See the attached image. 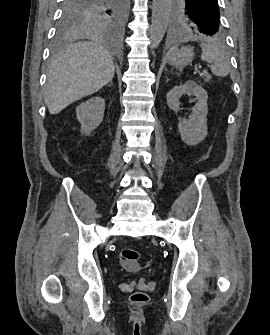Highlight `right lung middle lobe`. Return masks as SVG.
<instances>
[{"label":"right lung middle lobe","instance_id":"right-lung-middle-lobe-1","mask_svg":"<svg viewBox=\"0 0 270 335\" xmlns=\"http://www.w3.org/2000/svg\"><path fill=\"white\" fill-rule=\"evenodd\" d=\"M56 44L92 29H120L125 21L126 0H63Z\"/></svg>","mask_w":270,"mask_h":335}]
</instances>
